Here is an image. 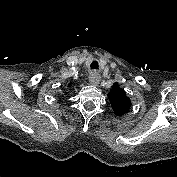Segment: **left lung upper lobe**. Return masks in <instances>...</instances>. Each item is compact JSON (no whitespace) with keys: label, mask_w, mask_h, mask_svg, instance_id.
I'll return each mask as SVG.
<instances>
[{"label":"left lung upper lobe","mask_w":177,"mask_h":177,"mask_svg":"<svg viewBox=\"0 0 177 177\" xmlns=\"http://www.w3.org/2000/svg\"><path fill=\"white\" fill-rule=\"evenodd\" d=\"M108 97L116 115L121 116L129 111L131 101L117 83L114 84L112 90L108 93Z\"/></svg>","instance_id":"left-lung-upper-lobe-1"}]
</instances>
